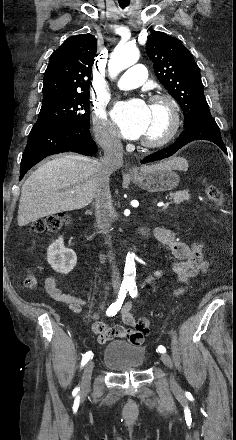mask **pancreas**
I'll use <instances>...</instances> for the list:
<instances>
[{
  "label": "pancreas",
  "instance_id": "cf45deb5",
  "mask_svg": "<svg viewBox=\"0 0 236 440\" xmlns=\"http://www.w3.org/2000/svg\"><path fill=\"white\" fill-rule=\"evenodd\" d=\"M171 200L174 204H181L182 202L190 199V194L188 190L177 191L175 193H171Z\"/></svg>",
  "mask_w": 236,
  "mask_h": 440
}]
</instances>
